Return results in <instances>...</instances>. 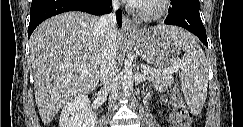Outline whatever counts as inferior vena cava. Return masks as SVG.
Returning a JSON list of instances; mask_svg holds the SVG:
<instances>
[{"label": "inferior vena cava", "mask_w": 243, "mask_h": 127, "mask_svg": "<svg viewBox=\"0 0 243 127\" xmlns=\"http://www.w3.org/2000/svg\"><path fill=\"white\" fill-rule=\"evenodd\" d=\"M118 7L119 1L113 0L112 11L100 17L98 22L99 27L104 32L100 64V81L104 88L110 91H115L117 88L115 79L117 71V48L114 37L117 31L115 11Z\"/></svg>", "instance_id": "1"}]
</instances>
